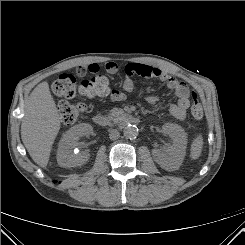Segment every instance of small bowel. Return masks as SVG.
I'll return each mask as SVG.
<instances>
[{
    "label": "small bowel",
    "instance_id": "obj_1",
    "mask_svg": "<svg viewBox=\"0 0 245 245\" xmlns=\"http://www.w3.org/2000/svg\"><path fill=\"white\" fill-rule=\"evenodd\" d=\"M101 69H104L109 74H116L119 71V66L115 62L105 63H90L86 66H82L78 69L79 75L85 73H97ZM126 77L123 81L121 89H113L109 92V98L113 102L125 100L130 93L135 89V78H155L166 83L168 88L176 95V102L170 105L169 111L173 117L178 120H185L187 117V111L190 107V90L188 86L178 80L173 75L161 70L158 67L150 66L142 63H129L125 67ZM142 94V91L140 92ZM146 101L154 105L158 102L156 95H149L145 97Z\"/></svg>",
    "mask_w": 245,
    "mask_h": 245
}]
</instances>
